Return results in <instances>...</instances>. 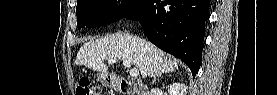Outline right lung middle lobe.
Segmentation results:
<instances>
[{
	"mask_svg": "<svg viewBox=\"0 0 277 95\" xmlns=\"http://www.w3.org/2000/svg\"><path fill=\"white\" fill-rule=\"evenodd\" d=\"M139 0H123L120 6L114 0H79L76 15L78 29L97 27L126 16Z\"/></svg>",
	"mask_w": 277,
	"mask_h": 95,
	"instance_id": "right-lung-middle-lobe-1",
	"label": "right lung middle lobe"
}]
</instances>
